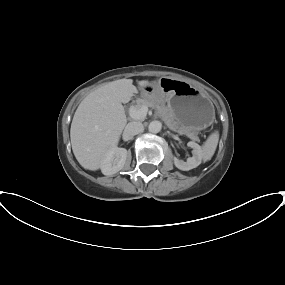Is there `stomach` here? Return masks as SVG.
<instances>
[{
	"label": "stomach",
	"instance_id": "1",
	"mask_svg": "<svg viewBox=\"0 0 285 285\" xmlns=\"http://www.w3.org/2000/svg\"><path fill=\"white\" fill-rule=\"evenodd\" d=\"M141 96L155 102H167L179 128L196 132L211 125L215 118L210 99L192 85L163 77L141 89Z\"/></svg>",
	"mask_w": 285,
	"mask_h": 285
}]
</instances>
